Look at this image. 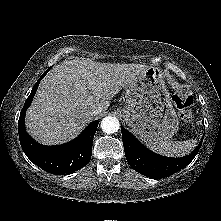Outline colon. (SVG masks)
Wrapping results in <instances>:
<instances>
[{"instance_id": "5ec220e1", "label": "colon", "mask_w": 221, "mask_h": 221, "mask_svg": "<svg viewBox=\"0 0 221 221\" xmlns=\"http://www.w3.org/2000/svg\"><path fill=\"white\" fill-rule=\"evenodd\" d=\"M173 103L178 110L180 118L184 122L192 120L191 105L193 103V94L187 88L178 90L173 96Z\"/></svg>"}]
</instances>
